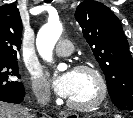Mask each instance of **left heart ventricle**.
<instances>
[{
	"instance_id": "b2bd125f",
	"label": "left heart ventricle",
	"mask_w": 133,
	"mask_h": 118,
	"mask_svg": "<svg viewBox=\"0 0 133 118\" xmlns=\"http://www.w3.org/2000/svg\"><path fill=\"white\" fill-rule=\"evenodd\" d=\"M75 86L70 101L87 104L95 99L98 87L94 76L89 72L75 71Z\"/></svg>"
}]
</instances>
